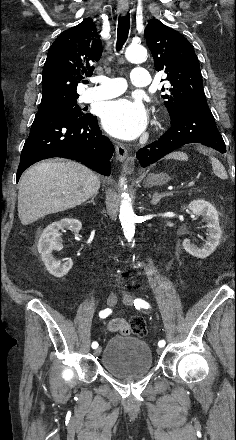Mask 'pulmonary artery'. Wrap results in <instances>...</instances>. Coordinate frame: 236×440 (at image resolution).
<instances>
[{"mask_svg": "<svg viewBox=\"0 0 236 440\" xmlns=\"http://www.w3.org/2000/svg\"><path fill=\"white\" fill-rule=\"evenodd\" d=\"M130 79L135 87H148L151 82V76L148 70L141 66H136L130 73ZM126 90V82L123 78L101 77L99 86L87 90L84 94L86 102L105 100L116 97Z\"/></svg>", "mask_w": 236, "mask_h": 440, "instance_id": "1", "label": "pulmonary artery"}]
</instances>
